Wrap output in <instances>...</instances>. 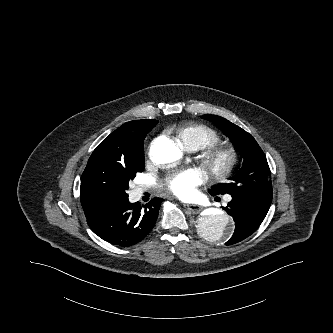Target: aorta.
Masks as SVG:
<instances>
[{
    "label": "aorta",
    "mask_w": 333,
    "mask_h": 333,
    "mask_svg": "<svg viewBox=\"0 0 333 333\" xmlns=\"http://www.w3.org/2000/svg\"><path fill=\"white\" fill-rule=\"evenodd\" d=\"M150 157L155 163H172L180 159V149L170 140H156L150 147ZM198 229L206 239L225 241L233 233V226L225 212L214 211L203 215Z\"/></svg>",
    "instance_id": "obj_1"
}]
</instances>
